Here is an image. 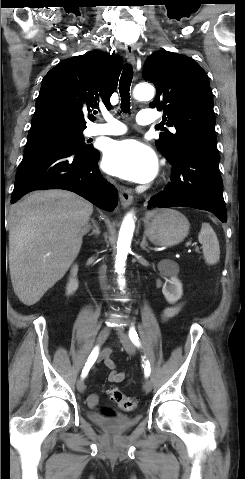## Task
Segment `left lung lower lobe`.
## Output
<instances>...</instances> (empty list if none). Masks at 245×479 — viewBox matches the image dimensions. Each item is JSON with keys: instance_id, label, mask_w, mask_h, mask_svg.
<instances>
[{"instance_id": "obj_1", "label": "left lung lower lobe", "mask_w": 245, "mask_h": 479, "mask_svg": "<svg viewBox=\"0 0 245 479\" xmlns=\"http://www.w3.org/2000/svg\"><path fill=\"white\" fill-rule=\"evenodd\" d=\"M171 183L151 197L150 208L192 207L214 213L227 221L219 156L215 146H197L182 152L174 161Z\"/></svg>"}]
</instances>
